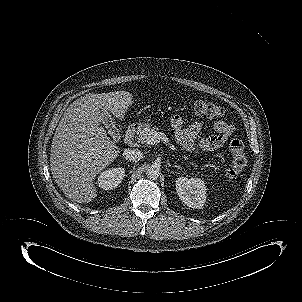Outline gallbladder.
Instances as JSON below:
<instances>
[{
	"label": "gallbladder",
	"instance_id": "gallbladder-1",
	"mask_svg": "<svg viewBox=\"0 0 302 302\" xmlns=\"http://www.w3.org/2000/svg\"><path fill=\"white\" fill-rule=\"evenodd\" d=\"M103 124L107 128L110 134L113 135V137H117V129L114 125L112 116L108 112H103Z\"/></svg>",
	"mask_w": 302,
	"mask_h": 302
}]
</instances>
